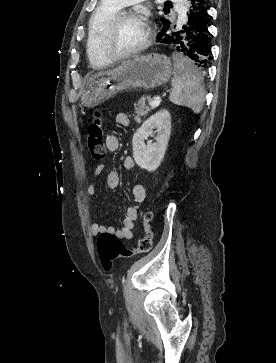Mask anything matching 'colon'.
<instances>
[{"instance_id":"obj_1","label":"colon","mask_w":276,"mask_h":363,"mask_svg":"<svg viewBox=\"0 0 276 363\" xmlns=\"http://www.w3.org/2000/svg\"><path fill=\"white\" fill-rule=\"evenodd\" d=\"M88 148L97 161L106 156L104 141V128L99 113L95 114L94 120L88 125ZM152 213L144 212L142 216V236L137 248H130L123 244L119 238L110 233H101L97 239V249L100 261L105 269H110L112 262L117 258H130L137 254L148 253L152 250L153 233L151 231Z\"/></svg>"}]
</instances>
